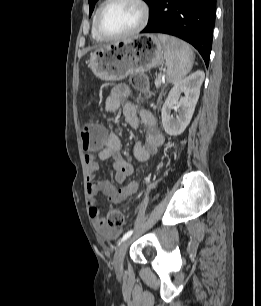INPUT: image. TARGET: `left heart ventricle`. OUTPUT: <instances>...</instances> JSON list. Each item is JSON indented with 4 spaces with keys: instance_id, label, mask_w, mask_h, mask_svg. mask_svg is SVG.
<instances>
[{
    "instance_id": "b2bd125f",
    "label": "left heart ventricle",
    "mask_w": 261,
    "mask_h": 306,
    "mask_svg": "<svg viewBox=\"0 0 261 306\" xmlns=\"http://www.w3.org/2000/svg\"><path fill=\"white\" fill-rule=\"evenodd\" d=\"M142 17L140 7L130 0H119L111 4L101 18L102 29L111 35L132 31Z\"/></svg>"
}]
</instances>
